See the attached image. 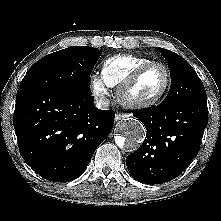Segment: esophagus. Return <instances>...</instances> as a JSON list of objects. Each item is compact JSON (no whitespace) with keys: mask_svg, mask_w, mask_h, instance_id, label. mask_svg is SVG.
Here are the masks:
<instances>
[{"mask_svg":"<svg viewBox=\"0 0 221 221\" xmlns=\"http://www.w3.org/2000/svg\"><path fill=\"white\" fill-rule=\"evenodd\" d=\"M127 117H128V115L125 114V113H116L115 121H119V120H122V119L127 118Z\"/></svg>","mask_w":221,"mask_h":221,"instance_id":"esophagus-1","label":"esophagus"}]
</instances>
